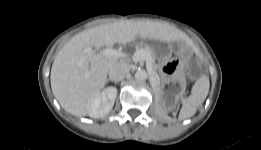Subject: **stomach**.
Wrapping results in <instances>:
<instances>
[{
    "instance_id": "1",
    "label": "stomach",
    "mask_w": 261,
    "mask_h": 150,
    "mask_svg": "<svg viewBox=\"0 0 261 150\" xmlns=\"http://www.w3.org/2000/svg\"><path fill=\"white\" fill-rule=\"evenodd\" d=\"M154 53L161 59L159 71L162 77L169 82H185V63L180 57L165 58L158 55V51Z\"/></svg>"
}]
</instances>
